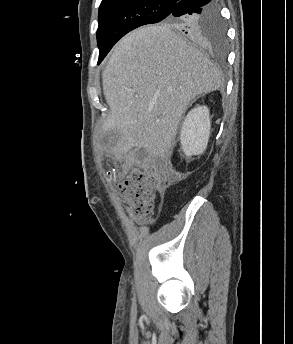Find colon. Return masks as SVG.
I'll return each instance as SVG.
<instances>
[{"mask_svg":"<svg viewBox=\"0 0 293 344\" xmlns=\"http://www.w3.org/2000/svg\"><path fill=\"white\" fill-rule=\"evenodd\" d=\"M157 178L134 169L120 185V192L130 214L138 220L153 216L158 199Z\"/></svg>","mask_w":293,"mask_h":344,"instance_id":"5ec220e1","label":"colon"}]
</instances>
